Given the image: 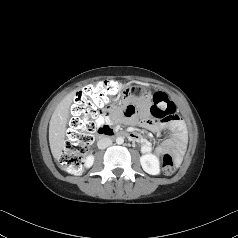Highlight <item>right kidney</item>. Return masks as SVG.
Masks as SVG:
<instances>
[{"label": "right kidney", "instance_id": "obj_1", "mask_svg": "<svg viewBox=\"0 0 238 238\" xmlns=\"http://www.w3.org/2000/svg\"><path fill=\"white\" fill-rule=\"evenodd\" d=\"M94 162V156L93 155H88L85 159V167L90 168L93 165Z\"/></svg>", "mask_w": 238, "mask_h": 238}]
</instances>
